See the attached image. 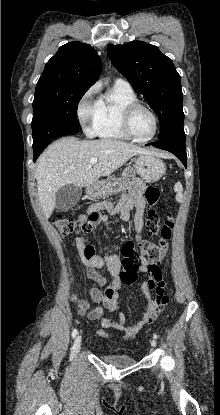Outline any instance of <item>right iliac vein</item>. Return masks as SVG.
<instances>
[{
	"instance_id": "obj_1",
	"label": "right iliac vein",
	"mask_w": 220,
	"mask_h": 415,
	"mask_svg": "<svg viewBox=\"0 0 220 415\" xmlns=\"http://www.w3.org/2000/svg\"><path fill=\"white\" fill-rule=\"evenodd\" d=\"M81 342H82V338L81 336H76V338L74 339V343H73V347H72V352L73 354H76L79 352L80 348H81Z\"/></svg>"
}]
</instances>
